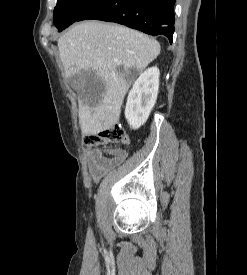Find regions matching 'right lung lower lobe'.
<instances>
[{"label": "right lung lower lobe", "mask_w": 247, "mask_h": 275, "mask_svg": "<svg viewBox=\"0 0 247 275\" xmlns=\"http://www.w3.org/2000/svg\"><path fill=\"white\" fill-rule=\"evenodd\" d=\"M175 0H98L77 21L115 22L149 35H165L172 43Z\"/></svg>", "instance_id": "right-lung-lower-lobe-1"}]
</instances>
